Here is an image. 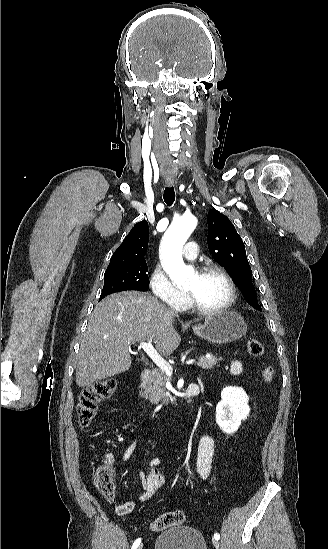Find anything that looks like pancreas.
I'll list each match as a JSON object with an SVG mask.
<instances>
[{
  "instance_id": "pancreas-1",
  "label": "pancreas",
  "mask_w": 328,
  "mask_h": 549,
  "mask_svg": "<svg viewBox=\"0 0 328 549\" xmlns=\"http://www.w3.org/2000/svg\"><path fill=\"white\" fill-rule=\"evenodd\" d=\"M218 361H222V357L217 359L214 355H210V357H199L196 365L202 367V369H213ZM217 367H220V365H217ZM167 379L168 377L165 371L154 369L148 381L142 385V389H145L144 393L146 397H148L150 403H160V401H164L166 395L164 387Z\"/></svg>"
}]
</instances>
